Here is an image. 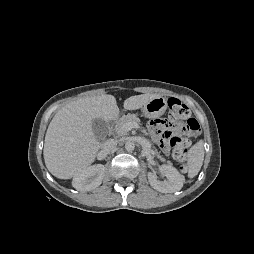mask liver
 Here are the masks:
<instances>
[{
    "label": "liver",
    "mask_w": 254,
    "mask_h": 254,
    "mask_svg": "<svg viewBox=\"0 0 254 254\" xmlns=\"http://www.w3.org/2000/svg\"><path fill=\"white\" fill-rule=\"evenodd\" d=\"M157 94H141L124 101L126 110L142 108ZM120 109L114 96L80 98L62 107L50 122L43 149L45 165L59 179H70L91 165L101 143L92 129L94 119H116Z\"/></svg>",
    "instance_id": "liver-1"
}]
</instances>
